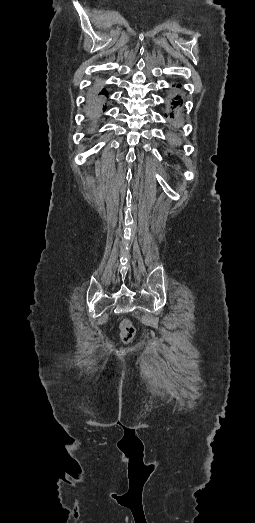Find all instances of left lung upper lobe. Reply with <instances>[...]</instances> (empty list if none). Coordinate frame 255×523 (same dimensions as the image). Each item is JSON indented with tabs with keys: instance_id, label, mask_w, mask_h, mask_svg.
Returning a JSON list of instances; mask_svg holds the SVG:
<instances>
[{
	"instance_id": "1",
	"label": "left lung upper lobe",
	"mask_w": 255,
	"mask_h": 523,
	"mask_svg": "<svg viewBox=\"0 0 255 523\" xmlns=\"http://www.w3.org/2000/svg\"><path fill=\"white\" fill-rule=\"evenodd\" d=\"M175 99L177 100V99H178V97H177V98H175ZM172 104H176V106H178V104H177V103H172ZM174 108H175V107H174ZM165 117H167V115H166V114H165ZM171 117H173V116H171Z\"/></svg>"
}]
</instances>
